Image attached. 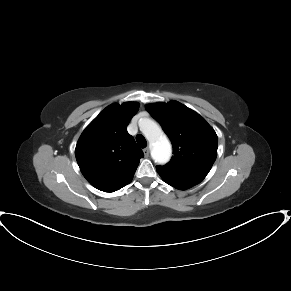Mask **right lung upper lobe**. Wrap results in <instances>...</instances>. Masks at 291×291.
I'll return each mask as SVG.
<instances>
[{
	"instance_id": "cb5924a9",
	"label": "right lung upper lobe",
	"mask_w": 291,
	"mask_h": 291,
	"mask_svg": "<svg viewBox=\"0 0 291 291\" xmlns=\"http://www.w3.org/2000/svg\"><path fill=\"white\" fill-rule=\"evenodd\" d=\"M139 105L107 106L83 131L75 149L83 176L95 188L114 192L129 184L144 157L127 125Z\"/></svg>"
}]
</instances>
